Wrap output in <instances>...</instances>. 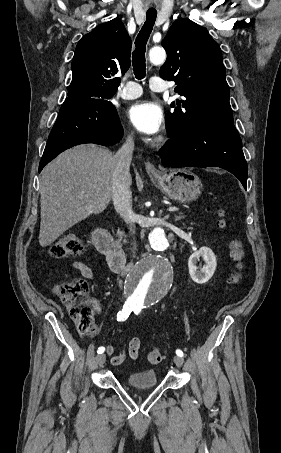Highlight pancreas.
Instances as JSON below:
<instances>
[{"mask_svg": "<svg viewBox=\"0 0 281 453\" xmlns=\"http://www.w3.org/2000/svg\"><path fill=\"white\" fill-rule=\"evenodd\" d=\"M117 235H118V237H120V239H122V237H126V235H124L123 231H117Z\"/></svg>", "mask_w": 281, "mask_h": 453, "instance_id": "pancreas-1", "label": "pancreas"}]
</instances>
